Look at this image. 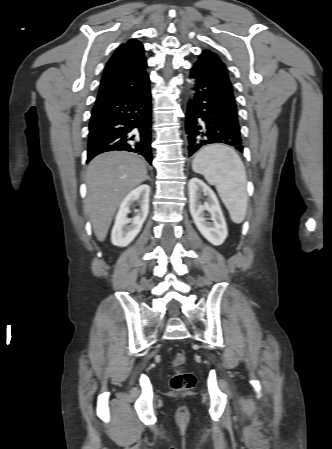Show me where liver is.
I'll return each mask as SVG.
<instances>
[{
	"label": "liver",
	"mask_w": 332,
	"mask_h": 449,
	"mask_svg": "<svg viewBox=\"0 0 332 449\" xmlns=\"http://www.w3.org/2000/svg\"><path fill=\"white\" fill-rule=\"evenodd\" d=\"M146 177L144 161L125 151L106 152L89 163L86 172L85 212L90 218L97 240H105L120 203Z\"/></svg>",
	"instance_id": "obj_1"
}]
</instances>
